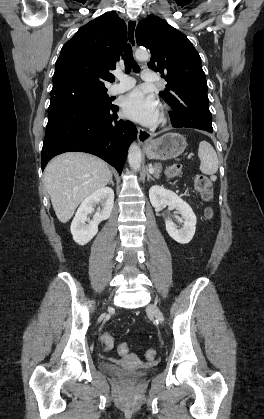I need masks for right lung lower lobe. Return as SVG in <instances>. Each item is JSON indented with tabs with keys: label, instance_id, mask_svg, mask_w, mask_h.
I'll list each match as a JSON object with an SVG mask.
<instances>
[{
	"label": "right lung lower lobe",
	"instance_id": "1",
	"mask_svg": "<svg viewBox=\"0 0 264 419\" xmlns=\"http://www.w3.org/2000/svg\"><path fill=\"white\" fill-rule=\"evenodd\" d=\"M117 112L115 105L80 102L62 103L50 110L41 153L42 171L54 156L82 151L102 158L121 174L137 129L132 122L118 119Z\"/></svg>",
	"mask_w": 264,
	"mask_h": 419
}]
</instances>
